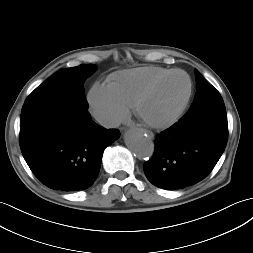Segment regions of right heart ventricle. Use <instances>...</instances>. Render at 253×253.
I'll return each mask as SVG.
<instances>
[{
	"instance_id": "e07e8e85",
	"label": "right heart ventricle",
	"mask_w": 253,
	"mask_h": 253,
	"mask_svg": "<svg viewBox=\"0 0 253 253\" xmlns=\"http://www.w3.org/2000/svg\"><path fill=\"white\" fill-rule=\"evenodd\" d=\"M169 71L171 69L159 66L123 70L112 75L108 85L127 107H133L141 92L155 79Z\"/></svg>"
}]
</instances>
